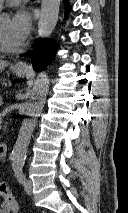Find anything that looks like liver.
<instances>
[{
	"label": "liver",
	"mask_w": 128,
	"mask_h": 213,
	"mask_svg": "<svg viewBox=\"0 0 128 213\" xmlns=\"http://www.w3.org/2000/svg\"><path fill=\"white\" fill-rule=\"evenodd\" d=\"M8 63L6 61L0 60V73L7 67Z\"/></svg>",
	"instance_id": "1"
}]
</instances>
